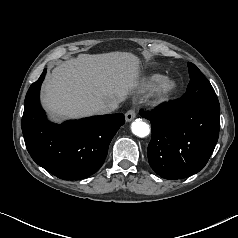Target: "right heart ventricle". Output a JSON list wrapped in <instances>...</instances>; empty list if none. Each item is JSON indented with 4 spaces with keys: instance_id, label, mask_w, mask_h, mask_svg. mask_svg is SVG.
Returning a JSON list of instances; mask_svg holds the SVG:
<instances>
[{
    "instance_id": "e07e8e85",
    "label": "right heart ventricle",
    "mask_w": 238,
    "mask_h": 238,
    "mask_svg": "<svg viewBox=\"0 0 238 238\" xmlns=\"http://www.w3.org/2000/svg\"><path fill=\"white\" fill-rule=\"evenodd\" d=\"M163 77L164 75L160 73H154L148 76L144 81H143V86L145 88H152L154 87Z\"/></svg>"
}]
</instances>
